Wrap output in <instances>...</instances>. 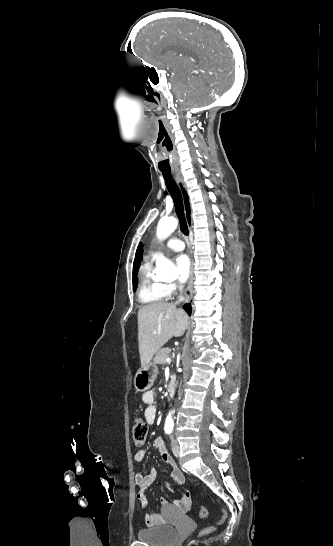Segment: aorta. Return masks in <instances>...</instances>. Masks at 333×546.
Instances as JSON below:
<instances>
[{
  "mask_svg": "<svg viewBox=\"0 0 333 546\" xmlns=\"http://www.w3.org/2000/svg\"><path fill=\"white\" fill-rule=\"evenodd\" d=\"M178 221L174 217L162 218L157 226V236L160 239L167 238L177 227ZM155 274L158 278L166 281H172L175 278V267L171 261L160 255L156 259ZM166 427H173L171 414L166 419Z\"/></svg>",
  "mask_w": 333,
  "mask_h": 546,
  "instance_id": "762f6f07",
  "label": "aorta"
}]
</instances>
